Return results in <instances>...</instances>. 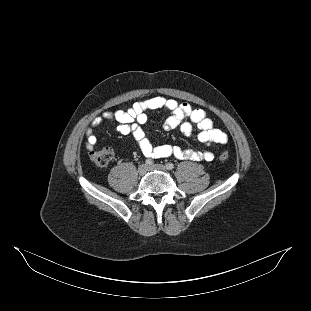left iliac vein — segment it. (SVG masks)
Instances as JSON below:
<instances>
[{
	"mask_svg": "<svg viewBox=\"0 0 311 311\" xmlns=\"http://www.w3.org/2000/svg\"><path fill=\"white\" fill-rule=\"evenodd\" d=\"M166 167L161 165V164H154V165H151L149 167V170H161V171H166Z\"/></svg>",
	"mask_w": 311,
	"mask_h": 311,
	"instance_id": "1",
	"label": "left iliac vein"
}]
</instances>
